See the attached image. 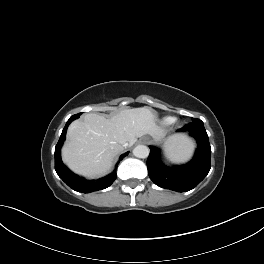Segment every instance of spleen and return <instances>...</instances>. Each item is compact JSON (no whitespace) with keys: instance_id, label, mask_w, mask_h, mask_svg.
I'll use <instances>...</instances> for the list:
<instances>
[{"instance_id":"3e777b00","label":"spleen","mask_w":264,"mask_h":264,"mask_svg":"<svg viewBox=\"0 0 264 264\" xmlns=\"http://www.w3.org/2000/svg\"><path fill=\"white\" fill-rule=\"evenodd\" d=\"M194 149L193 142L184 137H178L166 147L167 156L174 162H184L190 158Z\"/></svg>"}]
</instances>
